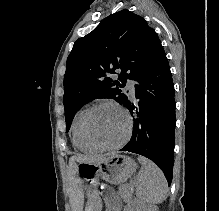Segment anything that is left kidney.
<instances>
[{
  "instance_id": "left-kidney-1",
  "label": "left kidney",
  "mask_w": 219,
  "mask_h": 211,
  "mask_svg": "<svg viewBox=\"0 0 219 211\" xmlns=\"http://www.w3.org/2000/svg\"><path fill=\"white\" fill-rule=\"evenodd\" d=\"M132 211H158V207H150V205H142L141 201H136L132 205Z\"/></svg>"
}]
</instances>
